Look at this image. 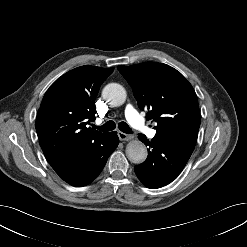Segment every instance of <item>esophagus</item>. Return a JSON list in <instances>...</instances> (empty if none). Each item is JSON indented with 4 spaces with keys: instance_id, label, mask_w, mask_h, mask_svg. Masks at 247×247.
<instances>
[{
    "instance_id": "1",
    "label": "esophagus",
    "mask_w": 247,
    "mask_h": 247,
    "mask_svg": "<svg viewBox=\"0 0 247 247\" xmlns=\"http://www.w3.org/2000/svg\"><path fill=\"white\" fill-rule=\"evenodd\" d=\"M118 137L121 141H129V140L133 139L132 135L125 134L121 131H118Z\"/></svg>"
}]
</instances>
